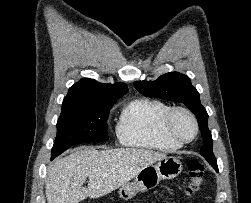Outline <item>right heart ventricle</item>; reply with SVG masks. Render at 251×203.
Masks as SVG:
<instances>
[{
	"instance_id": "right-heart-ventricle-1",
	"label": "right heart ventricle",
	"mask_w": 251,
	"mask_h": 203,
	"mask_svg": "<svg viewBox=\"0 0 251 203\" xmlns=\"http://www.w3.org/2000/svg\"><path fill=\"white\" fill-rule=\"evenodd\" d=\"M170 106L164 102L139 98L122 110L116 127L117 139L123 146L147 150L173 151L182 144L167 137L162 122Z\"/></svg>"
}]
</instances>
